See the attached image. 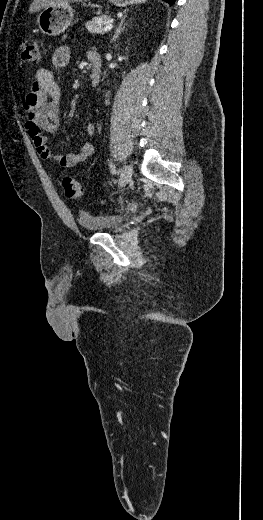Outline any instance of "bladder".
Returning a JSON list of instances; mask_svg holds the SVG:
<instances>
[{"mask_svg": "<svg viewBox=\"0 0 263 520\" xmlns=\"http://www.w3.org/2000/svg\"><path fill=\"white\" fill-rule=\"evenodd\" d=\"M125 217L120 214L95 215L81 213L78 216L79 225L86 231L101 232L110 231L123 225Z\"/></svg>", "mask_w": 263, "mask_h": 520, "instance_id": "bladder-1", "label": "bladder"}]
</instances>
